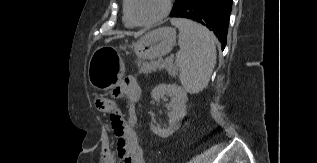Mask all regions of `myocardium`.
I'll use <instances>...</instances> for the list:
<instances>
[{
	"mask_svg": "<svg viewBox=\"0 0 317 163\" xmlns=\"http://www.w3.org/2000/svg\"><path fill=\"white\" fill-rule=\"evenodd\" d=\"M172 1L173 0H164V7H163L162 12L157 17L150 19V20H146V21H140L134 16L133 11H132V0H127V12H128V15H129L131 22L134 25L151 26V25H154V24L162 21L164 18H166L169 15V13L172 10V5H173Z\"/></svg>",
	"mask_w": 317,
	"mask_h": 163,
	"instance_id": "f54148a6",
	"label": "myocardium"
}]
</instances>
